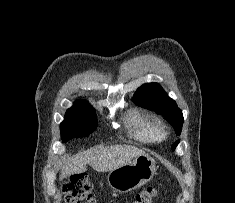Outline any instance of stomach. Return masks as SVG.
I'll list each match as a JSON object with an SVG mask.
<instances>
[{"label":"stomach","mask_w":235,"mask_h":203,"mask_svg":"<svg viewBox=\"0 0 235 203\" xmlns=\"http://www.w3.org/2000/svg\"><path fill=\"white\" fill-rule=\"evenodd\" d=\"M155 172L154 159L143 154L130 163L111 170L107 176V181L113 190L119 193H127L149 182Z\"/></svg>","instance_id":"obj_1"}]
</instances>
